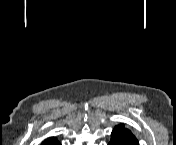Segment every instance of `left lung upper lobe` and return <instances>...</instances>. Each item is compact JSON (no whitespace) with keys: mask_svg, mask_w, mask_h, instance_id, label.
Masks as SVG:
<instances>
[{"mask_svg":"<svg viewBox=\"0 0 176 145\" xmlns=\"http://www.w3.org/2000/svg\"><path fill=\"white\" fill-rule=\"evenodd\" d=\"M113 132L123 136L132 145L138 144L137 138L132 134L130 130L125 128L124 124H119L115 126Z\"/></svg>","mask_w":176,"mask_h":145,"instance_id":"1","label":"left lung upper lobe"}]
</instances>
